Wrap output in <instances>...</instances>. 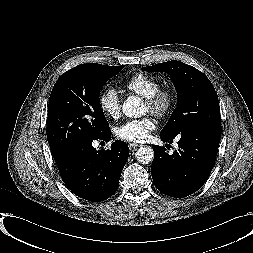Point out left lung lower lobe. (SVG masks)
Here are the masks:
<instances>
[{"label":"left lung lower lobe","mask_w":253,"mask_h":253,"mask_svg":"<svg viewBox=\"0 0 253 253\" xmlns=\"http://www.w3.org/2000/svg\"><path fill=\"white\" fill-rule=\"evenodd\" d=\"M221 131V126H189L176 135L180 138L179 148L172 155L166 153L164 147L153 145L151 173L155 187L175 198L196 192L212 171ZM176 136L160 135L164 142L169 143Z\"/></svg>","instance_id":"0a47b994"}]
</instances>
